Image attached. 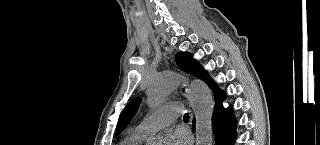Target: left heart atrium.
Masks as SVG:
<instances>
[{"label": "left heart atrium", "mask_w": 320, "mask_h": 145, "mask_svg": "<svg viewBox=\"0 0 320 145\" xmlns=\"http://www.w3.org/2000/svg\"><path fill=\"white\" fill-rule=\"evenodd\" d=\"M168 142L169 145H189L191 138L186 131L179 129L169 135Z\"/></svg>", "instance_id": "39dd6f15"}]
</instances>
